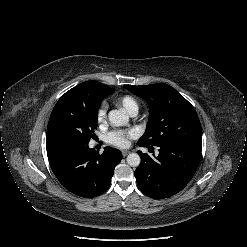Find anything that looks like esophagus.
I'll return each instance as SVG.
<instances>
[{
    "label": "esophagus",
    "instance_id": "esophagus-1",
    "mask_svg": "<svg viewBox=\"0 0 247 247\" xmlns=\"http://www.w3.org/2000/svg\"><path fill=\"white\" fill-rule=\"evenodd\" d=\"M129 153H130V151H127V150H123L122 151V154H123L124 157L127 156Z\"/></svg>",
    "mask_w": 247,
    "mask_h": 247
}]
</instances>
